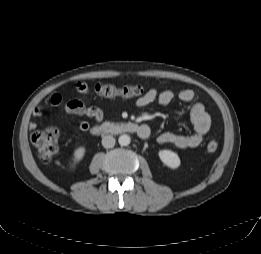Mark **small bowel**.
Instances as JSON below:
<instances>
[{
    "label": "small bowel",
    "mask_w": 261,
    "mask_h": 254,
    "mask_svg": "<svg viewBox=\"0 0 261 254\" xmlns=\"http://www.w3.org/2000/svg\"><path fill=\"white\" fill-rule=\"evenodd\" d=\"M54 97H58L60 102V97L58 95H52L48 98L47 102L50 105L56 106L59 102L54 103ZM156 100L163 106L171 105L176 101L190 104V117L195 131L194 134L190 135L165 132L157 137V143L161 145L170 144L179 149H192L198 147L210 130L211 120L205 106L196 100V94L194 91L190 89H183L179 91L167 89L159 91L155 88H151L137 99L136 105L138 107H145ZM63 110L68 114H73L82 118L79 122V129L82 132H87L89 130L90 124L86 120L87 118L94 119V121L98 124L103 120L102 111L82 99H70L65 104ZM42 115L43 110L41 108L34 109L33 116L35 118H40ZM141 126L145 128V131L139 133V136L146 139L151 134L150 127L148 125ZM36 127V122L30 123L31 129H35Z\"/></svg>",
    "instance_id": "c3829d8e"
}]
</instances>
